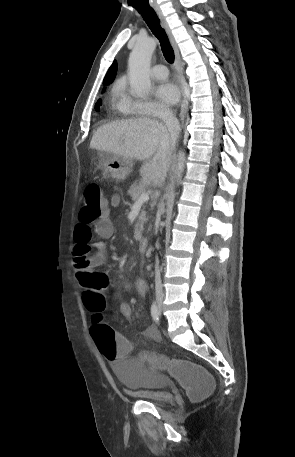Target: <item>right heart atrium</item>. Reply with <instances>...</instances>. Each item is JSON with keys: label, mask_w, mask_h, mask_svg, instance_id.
Returning a JSON list of instances; mask_svg holds the SVG:
<instances>
[{"label": "right heart atrium", "mask_w": 295, "mask_h": 457, "mask_svg": "<svg viewBox=\"0 0 295 457\" xmlns=\"http://www.w3.org/2000/svg\"><path fill=\"white\" fill-rule=\"evenodd\" d=\"M134 111L138 115L163 118L170 114V109L153 100H132Z\"/></svg>", "instance_id": "right-heart-atrium-1"}]
</instances>
